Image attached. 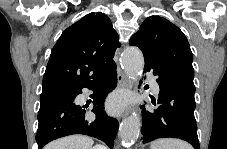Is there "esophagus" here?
<instances>
[{
	"mask_svg": "<svg viewBox=\"0 0 227 149\" xmlns=\"http://www.w3.org/2000/svg\"><path fill=\"white\" fill-rule=\"evenodd\" d=\"M117 80H118V87L120 88L127 87L129 85V81L122 71H118ZM128 116H131V111H124V113L122 114V119H127Z\"/></svg>",
	"mask_w": 227,
	"mask_h": 149,
	"instance_id": "34e87169",
	"label": "esophagus"
}]
</instances>
